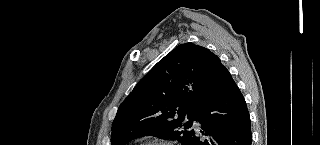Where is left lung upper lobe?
<instances>
[{"label": "left lung upper lobe", "mask_w": 320, "mask_h": 145, "mask_svg": "<svg viewBox=\"0 0 320 145\" xmlns=\"http://www.w3.org/2000/svg\"><path fill=\"white\" fill-rule=\"evenodd\" d=\"M220 59L207 48L184 43L162 58L120 105L111 145L142 136L187 145L203 101V84ZM186 120H189L185 122Z\"/></svg>", "instance_id": "obj_1"}]
</instances>
